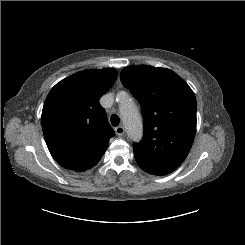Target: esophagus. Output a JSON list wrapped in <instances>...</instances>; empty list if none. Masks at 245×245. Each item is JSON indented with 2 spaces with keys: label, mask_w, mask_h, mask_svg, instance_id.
Segmentation results:
<instances>
[{
  "label": "esophagus",
  "mask_w": 245,
  "mask_h": 245,
  "mask_svg": "<svg viewBox=\"0 0 245 245\" xmlns=\"http://www.w3.org/2000/svg\"><path fill=\"white\" fill-rule=\"evenodd\" d=\"M124 127L123 126H118L115 128V133L119 136H123L124 135Z\"/></svg>",
  "instance_id": "obj_1"
}]
</instances>
